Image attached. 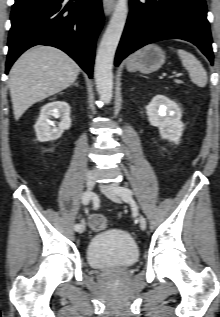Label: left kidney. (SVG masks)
I'll use <instances>...</instances> for the list:
<instances>
[{"mask_svg": "<svg viewBox=\"0 0 220 317\" xmlns=\"http://www.w3.org/2000/svg\"><path fill=\"white\" fill-rule=\"evenodd\" d=\"M148 120L152 126L159 128L162 139L179 143L183 124L180 121V110L164 95H155L146 107Z\"/></svg>", "mask_w": 220, "mask_h": 317, "instance_id": "5707ae66", "label": "left kidney"}]
</instances>
